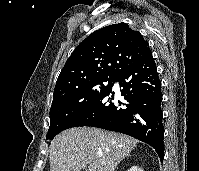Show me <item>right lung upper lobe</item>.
Returning a JSON list of instances; mask_svg holds the SVG:
<instances>
[{"label": "right lung upper lobe", "mask_w": 199, "mask_h": 171, "mask_svg": "<svg viewBox=\"0 0 199 171\" xmlns=\"http://www.w3.org/2000/svg\"><path fill=\"white\" fill-rule=\"evenodd\" d=\"M151 56L143 36L128 24L103 27L83 40L68 58L57 79L53 101L89 80L117 77Z\"/></svg>", "instance_id": "right-lung-upper-lobe-1"}]
</instances>
